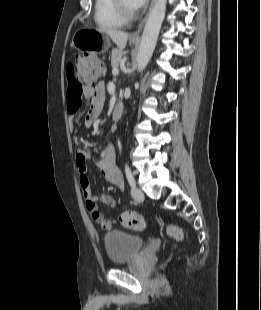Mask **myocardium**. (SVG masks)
<instances>
[{
  "instance_id": "f54148a6",
  "label": "myocardium",
  "mask_w": 261,
  "mask_h": 310,
  "mask_svg": "<svg viewBox=\"0 0 261 310\" xmlns=\"http://www.w3.org/2000/svg\"><path fill=\"white\" fill-rule=\"evenodd\" d=\"M113 6L119 17L125 22L133 20L137 13L135 11H131L127 9L123 3V0H112Z\"/></svg>"
}]
</instances>
